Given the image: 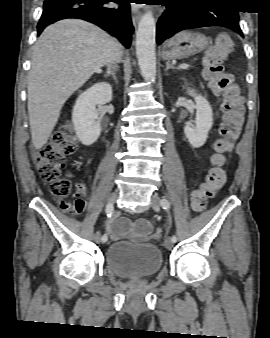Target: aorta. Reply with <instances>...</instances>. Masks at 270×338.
I'll return each mask as SVG.
<instances>
[{
  "label": "aorta",
  "mask_w": 270,
  "mask_h": 338,
  "mask_svg": "<svg viewBox=\"0 0 270 338\" xmlns=\"http://www.w3.org/2000/svg\"><path fill=\"white\" fill-rule=\"evenodd\" d=\"M156 25L153 13L147 11L140 19L136 32V55L145 81L156 80Z\"/></svg>",
  "instance_id": "1"
}]
</instances>
